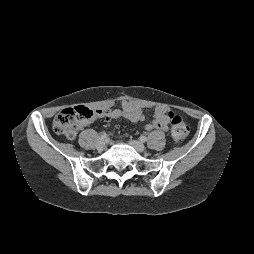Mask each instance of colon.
<instances>
[{
	"mask_svg": "<svg viewBox=\"0 0 254 254\" xmlns=\"http://www.w3.org/2000/svg\"><path fill=\"white\" fill-rule=\"evenodd\" d=\"M171 125V136L174 142L184 140L190 128L184 117L178 112L169 109L166 112ZM99 116V112L86 106L67 108L59 112L53 120V129L58 135L73 139L78 129L85 123Z\"/></svg>",
	"mask_w": 254,
	"mask_h": 254,
	"instance_id": "1",
	"label": "colon"
}]
</instances>
